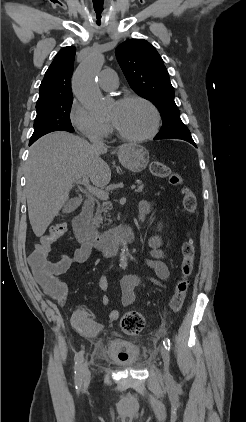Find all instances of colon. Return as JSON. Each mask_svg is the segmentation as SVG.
Masks as SVG:
<instances>
[{
  "mask_svg": "<svg viewBox=\"0 0 246 422\" xmlns=\"http://www.w3.org/2000/svg\"><path fill=\"white\" fill-rule=\"evenodd\" d=\"M150 171L155 177L168 178L172 185L181 187L184 210L189 214L196 211L198 205L197 197L191 189L182 186L183 181L179 174L171 173L168 166L159 161L151 163ZM66 232V224L56 223L50 227L47 234L41 237L40 242L29 256V265L36 278L42 279L47 276L50 264V261L48 260L50 247ZM195 252V242L193 238L188 237L182 245L179 277L175 283L173 295L169 304L174 313H178L184 305L189 286V277L194 266ZM120 327L127 335L136 336L142 333L145 327V319L139 312L129 311L121 317Z\"/></svg>",
  "mask_w": 246,
  "mask_h": 422,
  "instance_id": "5ec220e1",
  "label": "colon"
}]
</instances>
